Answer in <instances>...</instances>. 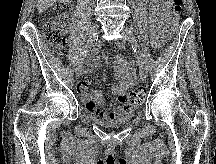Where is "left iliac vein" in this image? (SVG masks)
<instances>
[{"label": "left iliac vein", "mask_w": 216, "mask_h": 164, "mask_svg": "<svg viewBox=\"0 0 216 164\" xmlns=\"http://www.w3.org/2000/svg\"><path fill=\"white\" fill-rule=\"evenodd\" d=\"M124 32H125V38L128 40V42L131 44V45H136L137 46V50L140 52V59L142 60V63L139 65V68H140V71H139V74H140V77L142 79H145L146 76H147V67L143 61V54L140 50V45L138 43V40L135 38L134 34H133V30L132 28L128 27V26H125L124 27Z\"/></svg>", "instance_id": "left-iliac-vein-1"}]
</instances>
